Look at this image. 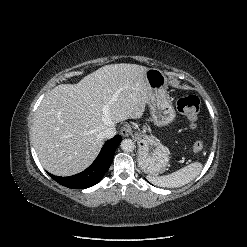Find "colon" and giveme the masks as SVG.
Returning <instances> with one entry per match:
<instances>
[{
    "mask_svg": "<svg viewBox=\"0 0 247 247\" xmlns=\"http://www.w3.org/2000/svg\"><path fill=\"white\" fill-rule=\"evenodd\" d=\"M199 98L195 95H188L178 100L177 109L180 114L185 118L190 128L196 125L199 113ZM192 149L195 153H200L204 149V143L197 140L193 143Z\"/></svg>",
    "mask_w": 247,
    "mask_h": 247,
    "instance_id": "5ec220e1",
    "label": "colon"
}]
</instances>
